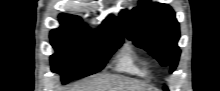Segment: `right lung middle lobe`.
<instances>
[{"label": "right lung middle lobe", "instance_id": "dd1d6c3e", "mask_svg": "<svg viewBox=\"0 0 220 91\" xmlns=\"http://www.w3.org/2000/svg\"><path fill=\"white\" fill-rule=\"evenodd\" d=\"M56 53L52 71L62 75V83L97 73L123 43L117 32H92L81 27L54 29L50 33Z\"/></svg>", "mask_w": 220, "mask_h": 91}]
</instances>
